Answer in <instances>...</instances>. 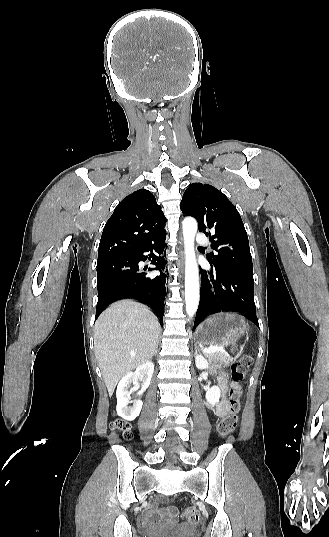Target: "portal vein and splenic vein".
Segmentation results:
<instances>
[{"label":"portal vein and splenic vein","instance_id":"obj_1","mask_svg":"<svg viewBox=\"0 0 329 537\" xmlns=\"http://www.w3.org/2000/svg\"><path fill=\"white\" fill-rule=\"evenodd\" d=\"M216 351H224V347L210 346L209 348L203 349V352H205V353H212V352H216Z\"/></svg>","mask_w":329,"mask_h":537}]
</instances>
